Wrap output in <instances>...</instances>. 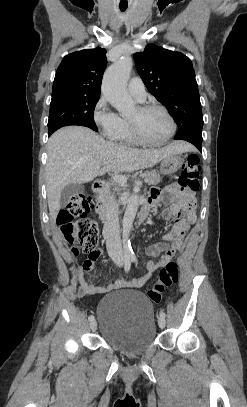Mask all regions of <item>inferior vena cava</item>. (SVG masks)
Returning <instances> with one entry per match:
<instances>
[{
    "instance_id": "obj_1",
    "label": "inferior vena cava",
    "mask_w": 247,
    "mask_h": 407,
    "mask_svg": "<svg viewBox=\"0 0 247 407\" xmlns=\"http://www.w3.org/2000/svg\"><path fill=\"white\" fill-rule=\"evenodd\" d=\"M105 221L103 227L106 248L110 258L117 264L123 263V251L120 240L118 220V205L115 202H107L105 205Z\"/></svg>"
}]
</instances>
